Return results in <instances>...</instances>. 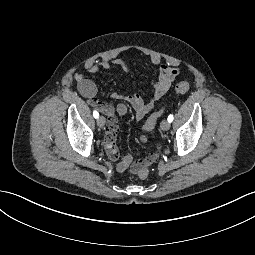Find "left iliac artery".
<instances>
[{
  "label": "left iliac artery",
  "mask_w": 255,
  "mask_h": 255,
  "mask_svg": "<svg viewBox=\"0 0 255 255\" xmlns=\"http://www.w3.org/2000/svg\"><path fill=\"white\" fill-rule=\"evenodd\" d=\"M168 121H169V122H172V121H173V115H172V114H170V115L168 116Z\"/></svg>",
  "instance_id": "44dca946"
}]
</instances>
